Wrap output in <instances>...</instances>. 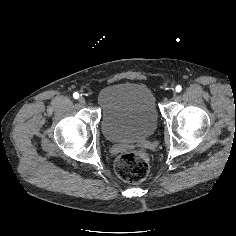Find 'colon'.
<instances>
[{
  "label": "colon",
  "mask_w": 236,
  "mask_h": 236,
  "mask_svg": "<svg viewBox=\"0 0 236 236\" xmlns=\"http://www.w3.org/2000/svg\"><path fill=\"white\" fill-rule=\"evenodd\" d=\"M150 169L149 157L145 152L133 151L121 155L115 164L118 176L128 183L143 181Z\"/></svg>",
  "instance_id": "obj_1"
}]
</instances>
